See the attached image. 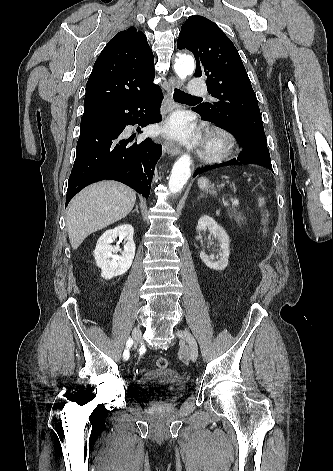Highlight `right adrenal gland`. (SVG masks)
<instances>
[{"instance_id":"1","label":"right adrenal gland","mask_w":333,"mask_h":471,"mask_svg":"<svg viewBox=\"0 0 333 471\" xmlns=\"http://www.w3.org/2000/svg\"><path fill=\"white\" fill-rule=\"evenodd\" d=\"M135 211L139 214L138 204H136V207H135V209L132 211V213L135 212Z\"/></svg>"}]
</instances>
